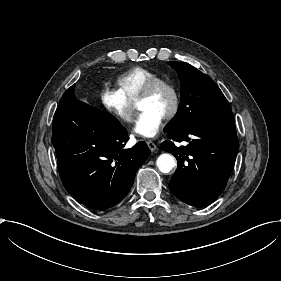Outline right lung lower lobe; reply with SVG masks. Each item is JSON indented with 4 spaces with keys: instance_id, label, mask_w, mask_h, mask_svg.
<instances>
[{
    "instance_id": "1",
    "label": "right lung lower lobe",
    "mask_w": 281,
    "mask_h": 281,
    "mask_svg": "<svg viewBox=\"0 0 281 281\" xmlns=\"http://www.w3.org/2000/svg\"><path fill=\"white\" fill-rule=\"evenodd\" d=\"M74 87L63 94L53 118L58 171L73 198L106 210L128 194L150 150L145 142L123 149L127 130L108 112L78 101Z\"/></svg>"
}]
</instances>
